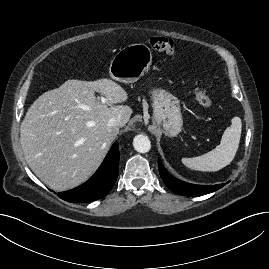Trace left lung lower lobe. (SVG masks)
Wrapping results in <instances>:
<instances>
[{
    "mask_svg": "<svg viewBox=\"0 0 269 269\" xmlns=\"http://www.w3.org/2000/svg\"><path fill=\"white\" fill-rule=\"evenodd\" d=\"M158 167L160 176L165 185L177 194L185 196H201L211 192H214L224 186V184L217 185H195L183 182L171 174H169L164 168L160 159H158Z\"/></svg>",
    "mask_w": 269,
    "mask_h": 269,
    "instance_id": "0a47b994",
    "label": "left lung lower lobe"
}]
</instances>
